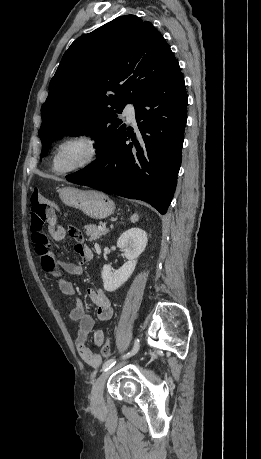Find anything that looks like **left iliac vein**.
I'll return each mask as SVG.
<instances>
[{"label":"left iliac vein","instance_id":"4c4485c4","mask_svg":"<svg viewBox=\"0 0 261 459\" xmlns=\"http://www.w3.org/2000/svg\"><path fill=\"white\" fill-rule=\"evenodd\" d=\"M112 371L113 369L109 368L107 371L103 372L92 388L91 405L95 410H101L104 407V387Z\"/></svg>","mask_w":261,"mask_h":459}]
</instances>
